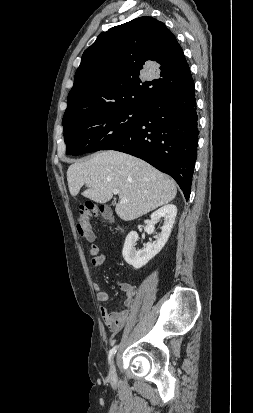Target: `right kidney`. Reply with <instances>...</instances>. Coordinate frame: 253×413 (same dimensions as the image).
<instances>
[{"label":"right kidney","instance_id":"right-kidney-1","mask_svg":"<svg viewBox=\"0 0 253 413\" xmlns=\"http://www.w3.org/2000/svg\"><path fill=\"white\" fill-rule=\"evenodd\" d=\"M176 215L177 208L173 204H167L151 214V219L146 226V232L148 234L154 232V226L160 218H164V224L157 240L149 243L143 250H136L135 245L138 241V234L135 231H131L125 239L122 251L124 260L135 269H139L146 265L166 244L175 222Z\"/></svg>","mask_w":253,"mask_h":413}]
</instances>
